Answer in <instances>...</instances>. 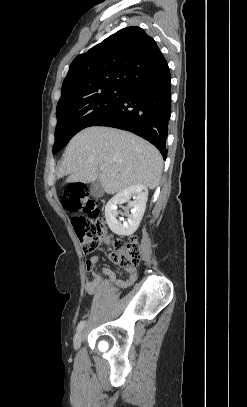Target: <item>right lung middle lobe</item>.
Segmentation results:
<instances>
[{"label": "right lung middle lobe", "mask_w": 247, "mask_h": 407, "mask_svg": "<svg viewBox=\"0 0 247 407\" xmlns=\"http://www.w3.org/2000/svg\"><path fill=\"white\" fill-rule=\"evenodd\" d=\"M127 87H110L57 107L53 154L80 130L93 126L113 111L127 95Z\"/></svg>", "instance_id": "1"}]
</instances>
